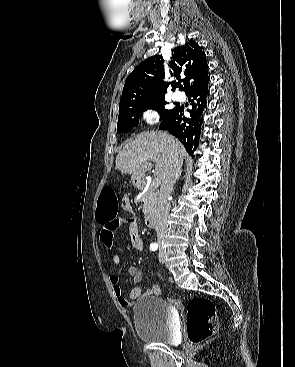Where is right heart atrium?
<instances>
[{
  "instance_id": "d8ad5b80",
  "label": "right heart atrium",
  "mask_w": 295,
  "mask_h": 367,
  "mask_svg": "<svg viewBox=\"0 0 295 367\" xmlns=\"http://www.w3.org/2000/svg\"><path fill=\"white\" fill-rule=\"evenodd\" d=\"M157 112L153 109H146L143 111L142 113V119L148 123V124H153L157 121Z\"/></svg>"
}]
</instances>
